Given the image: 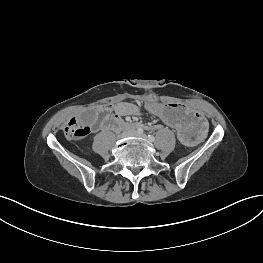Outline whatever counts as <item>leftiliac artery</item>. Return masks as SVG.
I'll use <instances>...</instances> for the list:
<instances>
[{"instance_id":"obj_1","label":"left iliac artery","mask_w":263,"mask_h":263,"mask_svg":"<svg viewBox=\"0 0 263 263\" xmlns=\"http://www.w3.org/2000/svg\"><path fill=\"white\" fill-rule=\"evenodd\" d=\"M148 140L150 142H153L155 140V137L153 135H148Z\"/></svg>"}]
</instances>
